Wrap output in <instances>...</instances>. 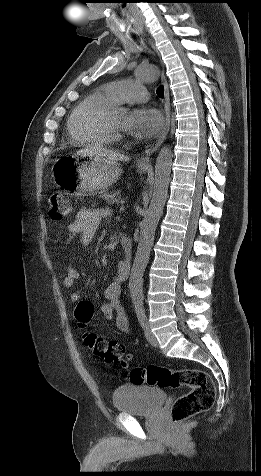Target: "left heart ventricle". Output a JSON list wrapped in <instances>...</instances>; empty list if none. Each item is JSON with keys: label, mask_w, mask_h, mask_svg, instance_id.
<instances>
[{"label": "left heart ventricle", "mask_w": 261, "mask_h": 476, "mask_svg": "<svg viewBox=\"0 0 261 476\" xmlns=\"http://www.w3.org/2000/svg\"><path fill=\"white\" fill-rule=\"evenodd\" d=\"M127 116L128 115L123 111H115L113 114V122L116 126L120 127L121 129H124Z\"/></svg>", "instance_id": "b2bd125f"}]
</instances>
